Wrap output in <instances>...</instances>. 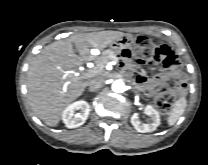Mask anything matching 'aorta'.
<instances>
[{"instance_id":"762f6f07","label":"aorta","mask_w":208,"mask_h":165,"mask_svg":"<svg viewBox=\"0 0 208 165\" xmlns=\"http://www.w3.org/2000/svg\"><path fill=\"white\" fill-rule=\"evenodd\" d=\"M112 90L116 93H123L126 90V86L122 80H115L112 83Z\"/></svg>"}]
</instances>
